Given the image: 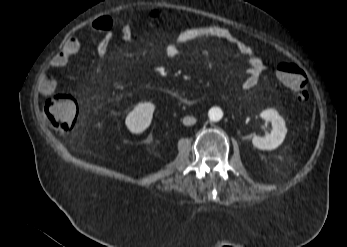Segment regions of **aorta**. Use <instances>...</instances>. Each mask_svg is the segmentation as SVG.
<instances>
[{
    "instance_id": "1",
    "label": "aorta",
    "mask_w": 347,
    "mask_h": 247,
    "mask_svg": "<svg viewBox=\"0 0 347 247\" xmlns=\"http://www.w3.org/2000/svg\"><path fill=\"white\" fill-rule=\"evenodd\" d=\"M208 116H209L210 121L216 122V121L221 120V118L223 116V112L220 108L214 107V108H211L209 110Z\"/></svg>"
}]
</instances>
